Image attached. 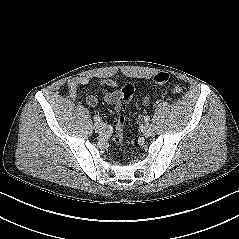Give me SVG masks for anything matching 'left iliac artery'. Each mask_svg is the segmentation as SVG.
<instances>
[{
  "label": "left iliac artery",
  "mask_w": 239,
  "mask_h": 239,
  "mask_svg": "<svg viewBox=\"0 0 239 239\" xmlns=\"http://www.w3.org/2000/svg\"><path fill=\"white\" fill-rule=\"evenodd\" d=\"M144 120H145V122H149L150 121V117L146 116V117H144Z\"/></svg>",
  "instance_id": "obj_1"
}]
</instances>
